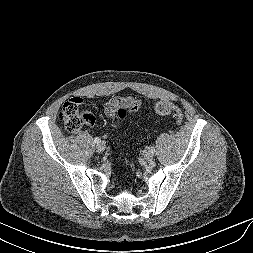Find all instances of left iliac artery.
<instances>
[{
	"label": "left iliac artery",
	"instance_id": "left-iliac-artery-1",
	"mask_svg": "<svg viewBox=\"0 0 253 253\" xmlns=\"http://www.w3.org/2000/svg\"><path fill=\"white\" fill-rule=\"evenodd\" d=\"M148 150H150L152 153L155 152V149L153 147H149Z\"/></svg>",
	"mask_w": 253,
	"mask_h": 253
}]
</instances>
